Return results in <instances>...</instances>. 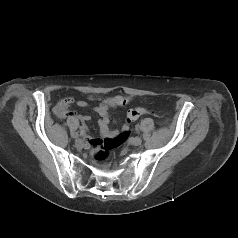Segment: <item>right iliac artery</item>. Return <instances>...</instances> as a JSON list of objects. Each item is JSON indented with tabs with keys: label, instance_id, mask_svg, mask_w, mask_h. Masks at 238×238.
Masks as SVG:
<instances>
[{
	"label": "right iliac artery",
	"instance_id": "82829eb1",
	"mask_svg": "<svg viewBox=\"0 0 238 238\" xmlns=\"http://www.w3.org/2000/svg\"><path fill=\"white\" fill-rule=\"evenodd\" d=\"M78 136H79V135H78V134H76V135H75V138H77Z\"/></svg>",
	"mask_w": 238,
	"mask_h": 238
}]
</instances>
